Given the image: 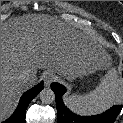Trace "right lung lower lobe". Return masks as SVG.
<instances>
[{
    "label": "right lung lower lobe",
    "mask_w": 123,
    "mask_h": 123,
    "mask_svg": "<svg viewBox=\"0 0 123 123\" xmlns=\"http://www.w3.org/2000/svg\"><path fill=\"white\" fill-rule=\"evenodd\" d=\"M43 88H44V86H43V81H42L37 86L26 91L21 96L20 102H19L15 112L12 114V116L9 119H7L3 123H25V114H26L27 106L32 101V99L35 98L39 94V92Z\"/></svg>",
    "instance_id": "1"
}]
</instances>
